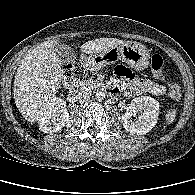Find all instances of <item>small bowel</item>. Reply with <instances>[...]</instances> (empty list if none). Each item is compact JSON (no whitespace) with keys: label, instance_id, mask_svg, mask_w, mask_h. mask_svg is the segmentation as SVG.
I'll return each mask as SVG.
<instances>
[{"label":"small bowel","instance_id":"small-bowel-1","mask_svg":"<svg viewBox=\"0 0 195 195\" xmlns=\"http://www.w3.org/2000/svg\"><path fill=\"white\" fill-rule=\"evenodd\" d=\"M115 74L118 80V87H113L114 94L121 90L126 96L131 97L142 93L162 95L166 91L163 84L147 79H139L125 66H118L115 69Z\"/></svg>","mask_w":195,"mask_h":195}]
</instances>
